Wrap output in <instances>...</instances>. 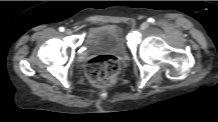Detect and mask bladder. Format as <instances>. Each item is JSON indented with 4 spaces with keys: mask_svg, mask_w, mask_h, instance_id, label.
Here are the masks:
<instances>
[{
    "mask_svg": "<svg viewBox=\"0 0 218 122\" xmlns=\"http://www.w3.org/2000/svg\"><path fill=\"white\" fill-rule=\"evenodd\" d=\"M84 45L92 50L125 53V39L122 32L112 25H101L91 29Z\"/></svg>",
    "mask_w": 218,
    "mask_h": 122,
    "instance_id": "1",
    "label": "bladder"
}]
</instances>
